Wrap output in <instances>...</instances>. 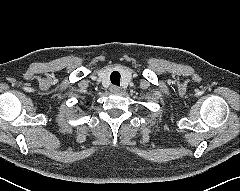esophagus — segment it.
<instances>
[{
    "instance_id": "34e87169",
    "label": "esophagus",
    "mask_w": 240,
    "mask_h": 191,
    "mask_svg": "<svg viewBox=\"0 0 240 191\" xmlns=\"http://www.w3.org/2000/svg\"><path fill=\"white\" fill-rule=\"evenodd\" d=\"M110 91H111L112 93H119V92H120V88H119L118 86L112 85V86L110 87Z\"/></svg>"
}]
</instances>
